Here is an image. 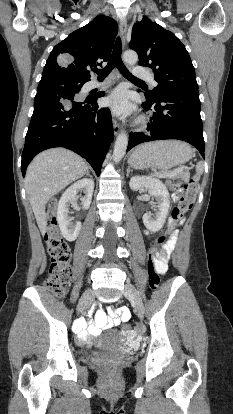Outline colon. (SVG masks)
I'll list each match as a JSON object with an SVG mask.
<instances>
[{"label": "colon", "instance_id": "colon-1", "mask_svg": "<svg viewBox=\"0 0 233 414\" xmlns=\"http://www.w3.org/2000/svg\"><path fill=\"white\" fill-rule=\"evenodd\" d=\"M171 188L174 190L177 200V204L171 212V220L173 223H178L194 204L198 189V178L194 176L183 185L172 184ZM56 213L57 204L55 201H52L48 206V226L45 232V241L52 259V264L45 284L53 294L60 296L65 286L71 281L73 271L69 265L71 258L70 247L59 232ZM166 243L167 236L163 235L158 237L149 255L147 272L149 284L152 289H155L159 284V275L155 269V262L163 255ZM122 329L127 333L130 332V326L126 323L122 324Z\"/></svg>", "mask_w": 233, "mask_h": 414}]
</instances>
